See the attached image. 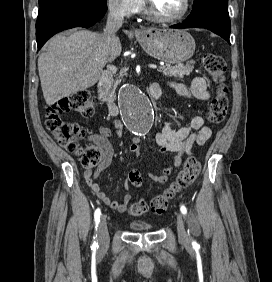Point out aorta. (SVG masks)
I'll list each match as a JSON object with an SVG mask.
<instances>
[{"mask_svg": "<svg viewBox=\"0 0 272 282\" xmlns=\"http://www.w3.org/2000/svg\"><path fill=\"white\" fill-rule=\"evenodd\" d=\"M120 107L124 120L132 131L138 134L150 131L154 110L148 97L137 85L129 84L123 89Z\"/></svg>", "mask_w": 272, "mask_h": 282, "instance_id": "762f6f07", "label": "aorta"}]
</instances>
